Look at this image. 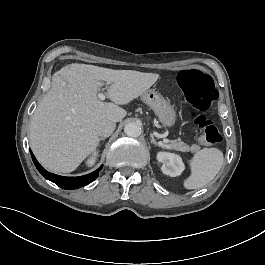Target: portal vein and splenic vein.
<instances>
[{
    "label": "portal vein and splenic vein",
    "mask_w": 265,
    "mask_h": 265,
    "mask_svg": "<svg viewBox=\"0 0 265 265\" xmlns=\"http://www.w3.org/2000/svg\"><path fill=\"white\" fill-rule=\"evenodd\" d=\"M100 85L102 86L103 84H100ZM98 97H99L101 100H104V99L106 98V96H105V94H104L103 92H100V93L98 94ZM164 142H165V143H169L170 140H169V139H165Z\"/></svg>",
    "instance_id": "18ae733b"
}]
</instances>
